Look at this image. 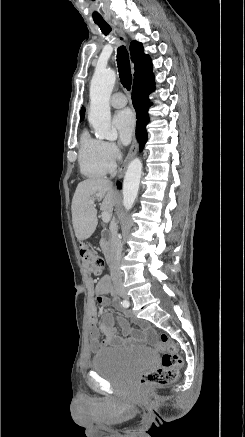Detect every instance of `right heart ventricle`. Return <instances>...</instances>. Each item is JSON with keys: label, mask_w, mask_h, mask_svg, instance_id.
<instances>
[{"label": "right heart ventricle", "mask_w": 245, "mask_h": 437, "mask_svg": "<svg viewBox=\"0 0 245 437\" xmlns=\"http://www.w3.org/2000/svg\"><path fill=\"white\" fill-rule=\"evenodd\" d=\"M79 165L89 178H103L111 172L103 158L102 141L93 138L86 129L80 136Z\"/></svg>", "instance_id": "e07e8e85"}]
</instances>
